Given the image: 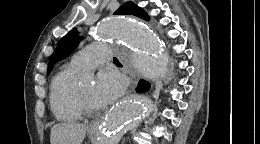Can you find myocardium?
I'll return each mask as SVG.
<instances>
[{"label": "myocardium", "mask_w": 260, "mask_h": 144, "mask_svg": "<svg viewBox=\"0 0 260 144\" xmlns=\"http://www.w3.org/2000/svg\"><path fill=\"white\" fill-rule=\"evenodd\" d=\"M77 104L79 105L81 111L87 115L93 116L99 113V109L91 105V103L87 100L80 85L77 89Z\"/></svg>", "instance_id": "obj_1"}]
</instances>
